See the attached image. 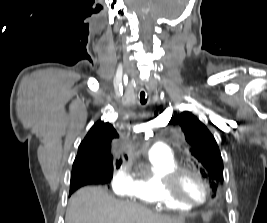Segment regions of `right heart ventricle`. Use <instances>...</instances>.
Segmentation results:
<instances>
[{
  "label": "right heart ventricle",
  "instance_id": "e07e8e85",
  "mask_svg": "<svg viewBox=\"0 0 267 223\" xmlns=\"http://www.w3.org/2000/svg\"><path fill=\"white\" fill-rule=\"evenodd\" d=\"M178 166V162L169 158L149 156L147 169L136 173L132 177V184L127 196L136 202L149 204L154 208H168L179 212H189L190 207L168 199L163 189V177Z\"/></svg>",
  "mask_w": 267,
  "mask_h": 223
}]
</instances>
